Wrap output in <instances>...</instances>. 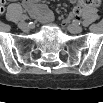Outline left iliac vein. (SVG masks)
<instances>
[{
	"mask_svg": "<svg viewBox=\"0 0 103 103\" xmlns=\"http://www.w3.org/2000/svg\"><path fill=\"white\" fill-rule=\"evenodd\" d=\"M68 29L71 33H80L82 32L83 28L79 25H73V24H70L68 26Z\"/></svg>",
	"mask_w": 103,
	"mask_h": 103,
	"instance_id": "left-iliac-vein-1",
	"label": "left iliac vein"
}]
</instances>
